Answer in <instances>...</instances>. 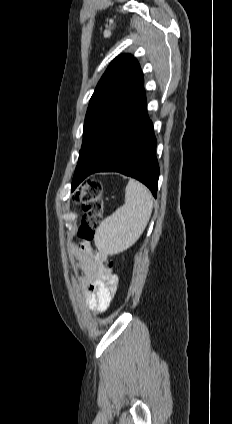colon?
<instances>
[{
  "label": "colon",
  "mask_w": 232,
  "mask_h": 424,
  "mask_svg": "<svg viewBox=\"0 0 232 424\" xmlns=\"http://www.w3.org/2000/svg\"><path fill=\"white\" fill-rule=\"evenodd\" d=\"M73 200L83 209L78 236L84 241H90L95 237L104 214L102 184L94 179L87 180L75 192ZM109 266H112V263Z\"/></svg>",
  "instance_id": "colon-1"
}]
</instances>
